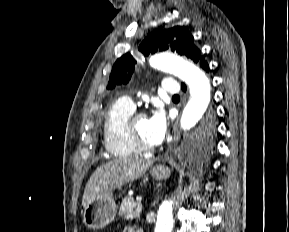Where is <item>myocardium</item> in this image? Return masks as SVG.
Masks as SVG:
<instances>
[{
  "label": "myocardium",
  "mask_w": 289,
  "mask_h": 232,
  "mask_svg": "<svg viewBox=\"0 0 289 232\" xmlns=\"http://www.w3.org/2000/svg\"><path fill=\"white\" fill-rule=\"evenodd\" d=\"M139 117H145V114L142 112H133L127 119L126 124H125V131H126L127 137L138 152H145V153L152 152L154 151L155 146L147 145L144 142H142L137 137L133 129V124L136 121V119Z\"/></svg>",
  "instance_id": "obj_1"
}]
</instances>
